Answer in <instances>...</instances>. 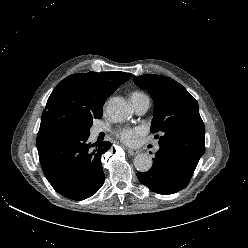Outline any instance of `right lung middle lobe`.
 <instances>
[{
	"instance_id": "obj_1",
	"label": "right lung middle lobe",
	"mask_w": 248,
	"mask_h": 248,
	"mask_svg": "<svg viewBox=\"0 0 248 248\" xmlns=\"http://www.w3.org/2000/svg\"><path fill=\"white\" fill-rule=\"evenodd\" d=\"M91 125H92V122H89V123H87L86 125H84V126L78 128V129H80V130H82V131H85V132H89V129L91 128Z\"/></svg>"
}]
</instances>
